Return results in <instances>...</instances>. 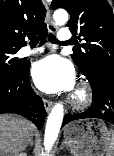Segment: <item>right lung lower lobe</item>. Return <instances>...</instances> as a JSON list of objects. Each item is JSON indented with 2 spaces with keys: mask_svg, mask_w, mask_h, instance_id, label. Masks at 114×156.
Listing matches in <instances>:
<instances>
[{
  "mask_svg": "<svg viewBox=\"0 0 114 156\" xmlns=\"http://www.w3.org/2000/svg\"><path fill=\"white\" fill-rule=\"evenodd\" d=\"M41 43L46 42L47 28L39 33ZM29 65L11 79L0 80V114L15 113L42 128L46 111L42 99L33 91L29 81Z\"/></svg>",
  "mask_w": 114,
  "mask_h": 156,
  "instance_id": "1",
  "label": "right lung lower lobe"
}]
</instances>
